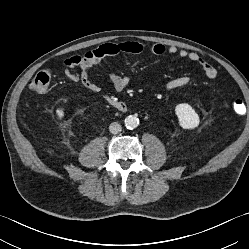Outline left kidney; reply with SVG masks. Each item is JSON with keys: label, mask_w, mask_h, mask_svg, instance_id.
Returning <instances> with one entry per match:
<instances>
[{"label": "left kidney", "mask_w": 249, "mask_h": 249, "mask_svg": "<svg viewBox=\"0 0 249 249\" xmlns=\"http://www.w3.org/2000/svg\"><path fill=\"white\" fill-rule=\"evenodd\" d=\"M175 113L178 117L179 125L183 129H194L200 123L198 114L187 103L178 104L175 107Z\"/></svg>", "instance_id": "1"}]
</instances>
